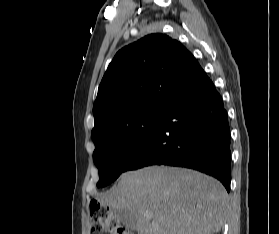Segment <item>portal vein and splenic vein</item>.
Returning a JSON list of instances; mask_svg holds the SVG:
<instances>
[{"mask_svg":"<svg viewBox=\"0 0 279 234\" xmlns=\"http://www.w3.org/2000/svg\"><path fill=\"white\" fill-rule=\"evenodd\" d=\"M147 219H151V215L147 214L146 215Z\"/></svg>","mask_w":279,"mask_h":234,"instance_id":"portal-vein-and-splenic-vein-1","label":"portal vein and splenic vein"}]
</instances>
